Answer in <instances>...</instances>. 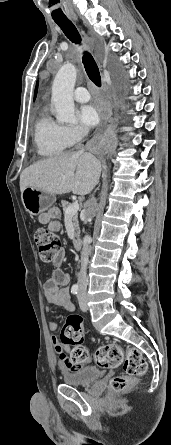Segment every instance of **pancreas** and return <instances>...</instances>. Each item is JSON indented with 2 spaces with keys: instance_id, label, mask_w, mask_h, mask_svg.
<instances>
[{
  "instance_id": "1",
  "label": "pancreas",
  "mask_w": 171,
  "mask_h": 445,
  "mask_svg": "<svg viewBox=\"0 0 171 445\" xmlns=\"http://www.w3.org/2000/svg\"><path fill=\"white\" fill-rule=\"evenodd\" d=\"M61 204H62V208H63L64 213H65V210L71 205L69 202L64 201V200L61 202ZM72 220H73L74 228L76 230L75 236L78 238L79 237V233H80V229H79V222H78L77 214L72 216Z\"/></svg>"
}]
</instances>
